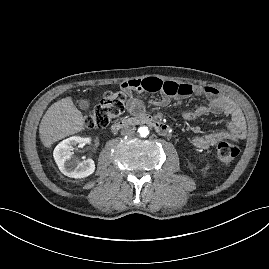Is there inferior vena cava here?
<instances>
[{
    "mask_svg": "<svg viewBox=\"0 0 269 269\" xmlns=\"http://www.w3.org/2000/svg\"><path fill=\"white\" fill-rule=\"evenodd\" d=\"M134 129L131 128V127H124L122 130H121V134L122 135H127V136H131L134 134Z\"/></svg>",
    "mask_w": 269,
    "mask_h": 269,
    "instance_id": "inferior-vena-cava-1",
    "label": "inferior vena cava"
}]
</instances>
